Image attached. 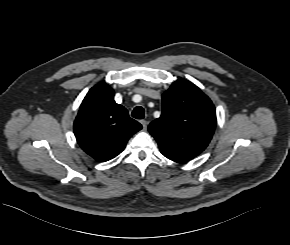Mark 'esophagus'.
Wrapping results in <instances>:
<instances>
[{
  "label": "esophagus",
  "instance_id": "34e87169",
  "mask_svg": "<svg viewBox=\"0 0 290 245\" xmlns=\"http://www.w3.org/2000/svg\"><path fill=\"white\" fill-rule=\"evenodd\" d=\"M140 123L142 124L143 129L146 130L147 129L148 122L146 120H140Z\"/></svg>",
  "mask_w": 290,
  "mask_h": 245
}]
</instances>
